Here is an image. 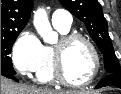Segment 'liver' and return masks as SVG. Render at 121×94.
<instances>
[{"label":"liver","instance_id":"obj_1","mask_svg":"<svg viewBox=\"0 0 121 94\" xmlns=\"http://www.w3.org/2000/svg\"><path fill=\"white\" fill-rule=\"evenodd\" d=\"M1 94H90L87 91H57L17 84L1 76Z\"/></svg>","mask_w":121,"mask_h":94}]
</instances>
